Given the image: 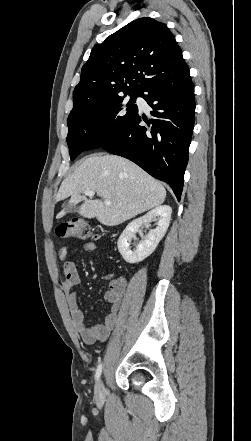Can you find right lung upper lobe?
<instances>
[{"label":"right lung upper lobe","instance_id":"cb5924a9","mask_svg":"<svg viewBox=\"0 0 251 441\" xmlns=\"http://www.w3.org/2000/svg\"><path fill=\"white\" fill-rule=\"evenodd\" d=\"M186 65L164 23L144 17L113 33L91 51L73 92V104L114 96L140 95L151 83Z\"/></svg>","mask_w":251,"mask_h":441}]
</instances>
